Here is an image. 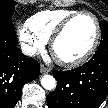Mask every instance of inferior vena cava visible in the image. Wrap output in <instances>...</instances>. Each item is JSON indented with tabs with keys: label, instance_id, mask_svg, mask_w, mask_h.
Wrapping results in <instances>:
<instances>
[{
	"label": "inferior vena cava",
	"instance_id": "1",
	"mask_svg": "<svg viewBox=\"0 0 108 108\" xmlns=\"http://www.w3.org/2000/svg\"><path fill=\"white\" fill-rule=\"evenodd\" d=\"M21 51L23 54L27 55V56H33L36 53V48L33 46H30L28 44H23L21 45Z\"/></svg>",
	"mask_w": 108,
	"mask_h": 108
}]
</instances>
